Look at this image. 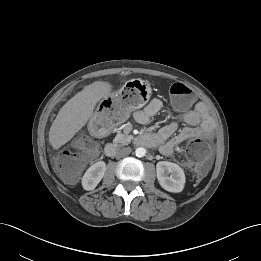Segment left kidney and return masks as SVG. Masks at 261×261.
Segmentation results:
<instances>
[{"label": "left kidney", "mask_w": 261, "mask_h": 261, "mask_svg": "<svg viewBox=\"0 0 261 261\" xmlns=\"http://www.w3.org/2000/svg\"><path fill=\"white\" fill-rule=\"evenodd\" d=\"M156 173L159 184L166 191L179 193L184 189L185 174L179 165L160 161L156 165Z\"/></svg>", "instance_id": "5707ae66"}]
</instances>
